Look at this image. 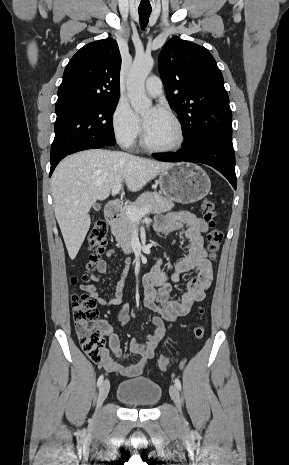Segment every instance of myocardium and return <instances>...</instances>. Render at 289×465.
Returning <instances> with one entry per match:
<instances>
[{
  "instance_id": "obj_1",
  "label": "myocardium",
  "mask_w": 289,
  "mask_h": 465,
  "mask_svg": "<svg viewBox=\"0 0 289 465\" xmlns=\"http://www.w3.org/2000/svg\"><path fill=\"white\" fill-rule=\"evenodd\" d=\"M160 111L165 113L173 121V123L175 124L176 129H177V133H178L177 142L174 145L168 146V147L154 146L151 143H149V141L147 139V136H146L145 129H143L142 139H141L142 146L146 150H148L150 152H154V153H172V152H176V151L180 150L183 147V145L185 143V140H186V135H185V130H184L183 124H182L181 120L179 119V117L171 109H169L167 107H162L160 109Z\"/></svg>"
}]
</instances>
